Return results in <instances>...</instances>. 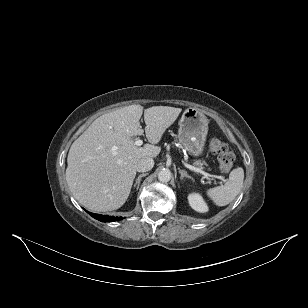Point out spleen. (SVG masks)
<instances>
[{
    "label": "spleen",
    "instance_id": "3e777b00",
    "mask_svg": "<svg viewBox=\"0 0 308 308\" xmlns=\"http://www.w3.org/2000/svg\"><path fill=\"white\" fill-rule=\"evenodd\" d=\"M244 170L241 167L233 169L224 185L208 189L207 195L217 206H226L240 193L243 187Z\"/></svg>",
    "mask_w": 308,
    "mask_h": 308
}]
</instances>
